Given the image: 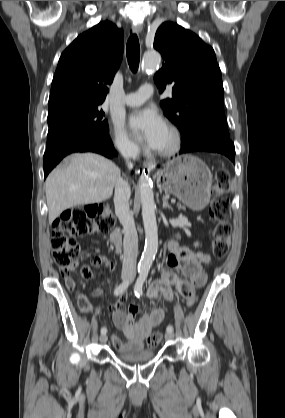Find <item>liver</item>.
Segmentation results:
<instances>
[{"instance_id": "6515ba94", "label": "liver", "mask_w": 285, "mask_h": 418, "mask_svg": "<svg viewBox=\"0 0 285 418\" xmlns=\"http://www.w3.org/2000/svg\"><path fill=\"white\" fill-rule=\"evenodd\" d=\"M120 175L116 164L103 156L71 154L68 164L53 170L45 182L49 223L71 207L109 199Z\"/></svg>"}]
</instances>
